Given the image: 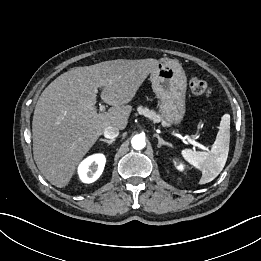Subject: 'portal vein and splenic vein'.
Returning <instances> with one entry per match:
<instances>
[{
    "label": "portal vein and splenic vein",
    "instance_id": "18ae733b",
    "mask_svg": "<svg viewBox=\"0 0 261 261\" xmlns=\"http://www.w3.org/2000/svg\"><path fill=\"white\" fill-rule=\"evenodd\" d=\"M105 109H106V108H105L104 105H100V106H99V110H100L101 112H104ZM184 139H186L190 144H192V145L195 146V147H198V148H200V149H202V150H208V147H205L204 145H202V144L196 142L195 140L189 138L188 136H185Z\"/></svg>",
    "mask_w": 261,
    "mask_h": 261
}]
</instances>
